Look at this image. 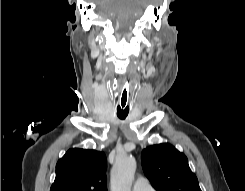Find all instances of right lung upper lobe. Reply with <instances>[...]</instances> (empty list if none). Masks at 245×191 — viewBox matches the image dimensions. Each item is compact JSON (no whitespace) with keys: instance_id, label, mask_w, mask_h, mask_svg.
Segmentation results:
<instances>
[{"instance_id":"obj_1","label":"right lung upper lobe","mask_w":245,"mask_h":191,"mask_svg":"<svg viewBox=\"0 0 245 191\" xmlns=\"http://www.w3.org/2000/svg\"><path fill=\"white\" fill-rule=\"evenodd\" d=\"M103 152L74 148L57 162L50 191H107Z\"/></svg>"}]
</instances>
